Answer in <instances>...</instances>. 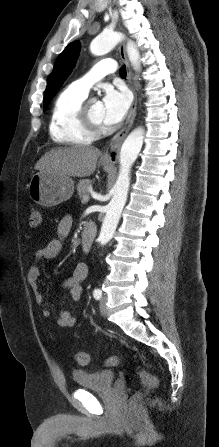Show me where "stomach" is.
I'll use <instances>...</instances> for the list:
<instances>
[{"mask_svg": "<svg viewBox=\"0 0 219 447\" xmlns=\"http://www.w3.org/2000/svg\"><path fill=\"white\" fill-rule=\"evenodd\" d=\"M105 171L112 168V164L101 161ZM30 198L44 207H54L71 198L74 192V181L52 171H39L31 177L28 185Z\"/></svg>", "mask_w": 219, "mask_h": 447, "instance_id": "stomach-1", "label": "stomach"}]
</instances>
